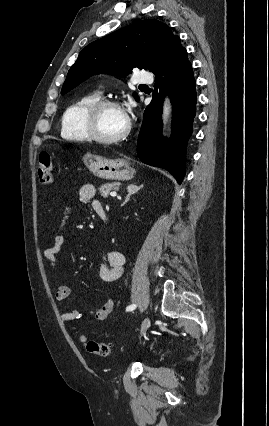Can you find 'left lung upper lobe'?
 Returning <instances> with one entry per match:
<instances>
[{
  "instance_id": "obj_1",
  "label": "left lung upper lobe",
  "mask_w": 269,
  "mask_h": 426,
  "mask_svg": "<svg viewBox=\"0 0 269 426\" xmlns=\"http://www.w3.org/2000/svg\"><path fill=\"white\" fill-rule=\"evenodd\" d=\"M177 37L166 24L146 19L94 41L70 68L61 94L95 74L124 77L135 67L150 71ZM133 96L139 100L136 93Z\"/></svg>"
}]
</instances>
